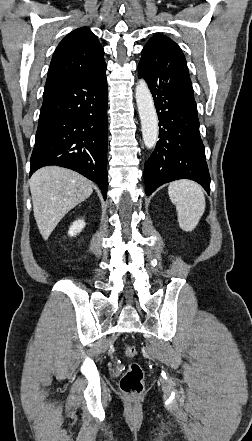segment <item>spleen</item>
I'll use <instances>...</instances> for the list:
<instances>
[{
    "label": "spleen",
    "instance_id": "spleen-1",
    "mask_svg": "<svg viewBox=\"0 0 252 441\" xmlns=\"http://www.w3.org/2000/svg\"><path fill=\"white\" fill-rule=\"evenodd\" d=\"M168 194L176 206L180 228L183 231L191 232L205 211L203 188L194 181L179 180L170 183Z\"/></svg>",
    "mask_w": 252,
    "mask_h": 441
}]
</instances>
